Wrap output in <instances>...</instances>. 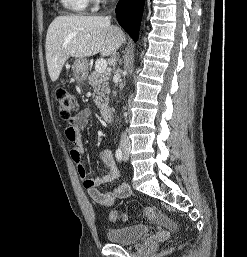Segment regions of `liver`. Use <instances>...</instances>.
<instances>
[{
  "instance_id": "obj_1",
  "label": "liver",
  "mask_w": 247,
  "mask_h": 257,
  "mask_svg": "<svg viewBox=\"0 0 247 257\" xmlns=\"http://www.w3.org/2000/svg\"><path fill=\"white\" fill-rule=\"evenodd\" d=\"M124 32L111 25L104 16H58L47 30L46 61L51 80L55 82L69 57L84 59L101 53L116 52L125 42Z\"/></svg>"
}]
</instances>
